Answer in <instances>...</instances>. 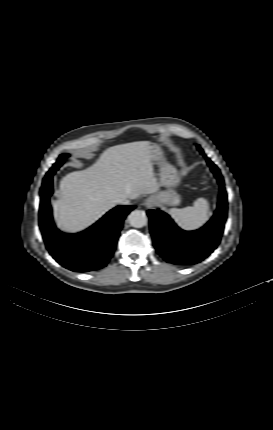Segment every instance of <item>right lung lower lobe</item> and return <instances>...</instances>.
<instances>
[{
	"instance_id": "1",
	"label": "right lung lower lobe",
	"mask_w": 273,
	"mask_h": 430,
	"mask_svg": "<svg viewBox=\"0 0 273 430\" xmlns=\"http://www.w3.org/2000/svg\"><path fill=\"white\" fill-rule=\"evenodd\" d=\"M53 174H46L40 191L39 226L46 248L59 264L74 272L105 267L113 256L124 218L135 206H117L85 231L64 234L56 229L51 215Z\"/></svg>"
}]
</instances>
